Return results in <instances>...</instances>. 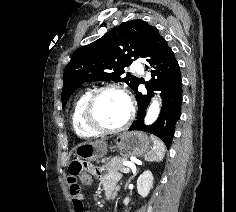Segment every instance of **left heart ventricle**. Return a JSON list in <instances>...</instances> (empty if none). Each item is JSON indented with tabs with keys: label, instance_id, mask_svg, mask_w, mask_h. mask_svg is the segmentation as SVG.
Wrapping results in <instances>:
<instances>
[{
	"label": "left heart ventricle",
	"instance_id": "left-heart-ventricle-1",
	"mask_svg": "<svg viewBox=\"0 0 236 212\" xmlns=\"http://www.w3.org/2000/svg\"><path fill=\"white\" fill-rule=\"evenodd\" d=\"M127 115L128 103L121 93L108 90L98 97L95 117L102 127L117 128L124 123Z\"/></svg>",
	"mask_w": 236,
	"mask_h": 212
}]
</instances>
